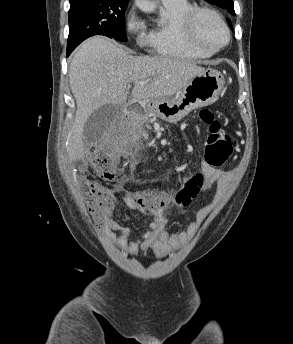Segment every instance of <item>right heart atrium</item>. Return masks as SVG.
Masks as SVG:
<instances>
[{
    "mask_svg": "<svg viewBox=\"0 0 293 344\" xmlns=\"http://www.w3.org/2000/svg\"><path fill=\"white\" fill-rule=\"evenodd\" d=\"M124 25L129 35L141 36L145 29V23L134 9H130L125 15Z\"/></svg>",
    "mask_w": 293,
    "mask_h": 344,
    "instance_id": "right-heart-atrium-1",
    "label": "right heart atrium"
}]
</instances>
